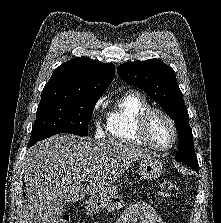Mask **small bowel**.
Returning a JSON list of instances; mask_svg holds the SVG:
<instances>
[{"mask_svg":"<svg viewBox=\"0 0 221 223\" xmlns=\"http://www.w3.org/2000/svg\"><path fill=\"white\" fill-rule=\"evenodd\" d=\"M118 223H166V221L149 204L136 202L122 212Z\"/></svg>","mask_w":221,"mask_h":223,"instance_id":"obj_1","label":"small bowel"}]
</instances>
